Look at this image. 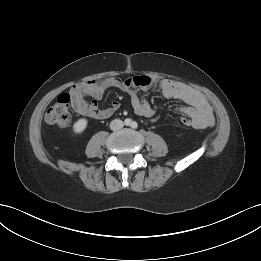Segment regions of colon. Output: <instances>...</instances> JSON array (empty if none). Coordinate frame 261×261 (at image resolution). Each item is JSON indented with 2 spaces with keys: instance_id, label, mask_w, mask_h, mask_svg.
<instances>
[{
  "instance_id": "colon-1",
  "label": "colon",
  "mask_w": 261,
  "mask_h": 261,
  "mask_svg": "<svg viewBox=\"0 0 261 261\" xmlns=\"http://www.w3.org/2000/svg\"><path fill=\"white\" fill-rule=\"evenodd\" d=\"M70 98L67 94H61L54 105H52L45 116L47 123L59 127H66L71 121L69 107ZM181 122L185 126H192V121L188 117H182Z\"/></svg>"
}]
</instances>
